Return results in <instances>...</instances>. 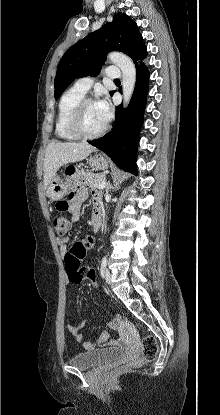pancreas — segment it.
I'll return each instance as SVG.
<instances>
[{
    "label": "pancreas",
    "instance_id": "pancreas-1",
    "mask_svg": "<svg viewBox=\"0 0 220 415\" xmlns=\"http://www.w3.org/2000/svg\"><path fill=\"white\" fill-rule=\"evenodd\" d=\"M81 177L84 180V183L87 186H90L92 189H97L101 182L105 181L104 174H95L92 172H81Z\"/></svg>",
    "mask_w": 220,
    "mask_h": 415
}]
</instances>
